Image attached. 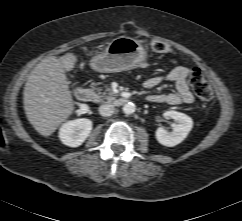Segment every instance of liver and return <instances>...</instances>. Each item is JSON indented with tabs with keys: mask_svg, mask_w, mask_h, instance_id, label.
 <instances>
[{
	"mask_svg": "<svg viewBox=\"0 0 242 221\" xmlns=\"http://www.w3.org/2000/svg\"><path fill=\"white\" fill-rule=\"evenodd\" d=\"M23 96L28 121L44 137L55 132L74 110L69 82L56 56L47 57L35 66Z\"/></svg>",
	"mask_w": 242,
	"mask_h": 221,
	"instance_id": "6515ba94",
	"label": "liver"
}]
</instances>
